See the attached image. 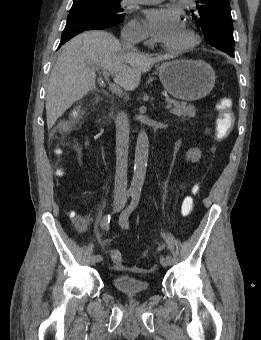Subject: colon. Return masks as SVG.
<instances>
[{
    "label": "colon",
    "mask_w": 261,
    "mask_h": 340,
    "mask_svg": "<svg viewBox=\"0 0 261 340\" xmlns=\"http://www.w3.org/2000/svg\"><path fill=\"white\" fill-rule=\"evenodd\" d=\"M216 109L218 112V118L216 120V135L218 138L222 139L228 136L233 127H234V113H233V101L229 97H222L218 100L216 104ZM60 150H57V153H60ZM198 192V187H194L193 193L196 194ZM194 198L189 196L184 199L182 204V212L184 215H189L192 213L194 209ZM110 258L113 264L121 268L123 266V255L118 250H112L110 253Z\"/></svg>",
    "instance_id": "1"
}]
</instances>
